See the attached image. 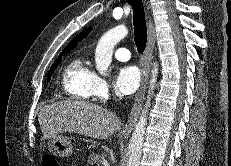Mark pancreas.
Masks as SVG:
<instances>
[{
	"mask_svg": "<svg viewBox=\"0 0 231 166\" xmlns=\"http://www.w3.org/2000/svg\"><path fill=\"white\" fill-rule=\"evenodd\" d=\"M105 158H106V154L105 153H103V152H101V153H91L90 154V156H89V158H88V163L90 164V165H98L99 166V164L103 161V160H105Z\"/></svg>",
	"mask_w": 231,
	"mask_h": 166,
	"instance_id": "1",
	"label": "pancreas"
}]
</instances>
